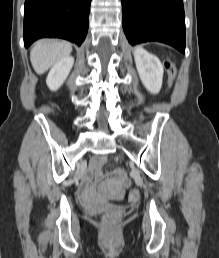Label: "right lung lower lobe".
<instances>
[{"label": "right lung lower lobe", "instance_id": "1", "mask_svg": "<svg viewBox=\"0 0 219 258\" xmlns=\"http://www.w3.org/2000/svg\"><path fill=\"white\" fill-rule=\"evenodd\" d=\"M90 4L91 0H25V47L42 37L81 45L88 31Z\"/></svg>", "mask_w": 219, "mask_h": 258}]
</instances>
